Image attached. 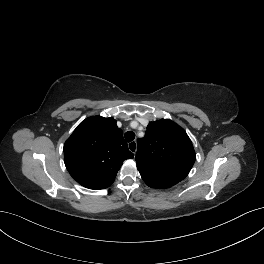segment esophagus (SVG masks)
Returning a JSON list of instances; mask_svg holds the SVG:
<instances>
[{
  "label": "esophagus",
  "mask_w": 264,
  "mask_h": 264,
  "mask_svg": "<svg viewBox=\"0 0 264 264\" xmlns=\"http://www.w3.org/2000/svg\"><path fill=\"white\" fill-rule=\"evenodd\" d=\"M128 148L132 153H136L137 151V143L136 141H131L130 143H128Z\"/></svg>",
  "instance_id": "1"
}]
</instances>
